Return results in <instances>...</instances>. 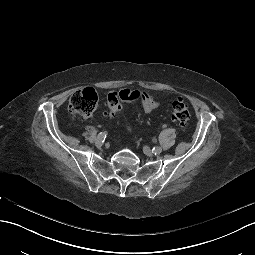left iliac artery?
Listing matches in <instances>:
<instances>
[{
    "label": "left iliac artery",
    "mask_w": 255,
    "mask_h": 255,
    "mask_svg": "<svg viewBox=\"0 0 255 255\" xmlns=\"http://www.w3.org/2000/svg\"><path fill=\"white\" fill-rule=\"evenodd\" d=\"M152 151L155 155H157L162 152V149L160 147H154Z\"/></svg>",
    "instance_id": "obj_1"
}]
</instances>
